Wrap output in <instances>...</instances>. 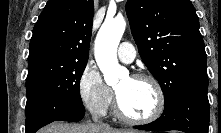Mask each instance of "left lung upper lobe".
<instances>
[{
  "label": "left lung upper lobe",
  "mask_w": 221,
  "mask_h": 133,
  "mask_svg": "<svg viewBox=\"0 0 221 133\" xmlns=\"http://www.w3.org/2000/svg\"><path fill=\"white\" fill-rule=\"evenodd\" d=\"M126 12L139 54L163 90L165 106L188 88L208 87L205 46L189 0H128Z\"/></svg>",
  "instance_id": "1"
}]
</instances>
